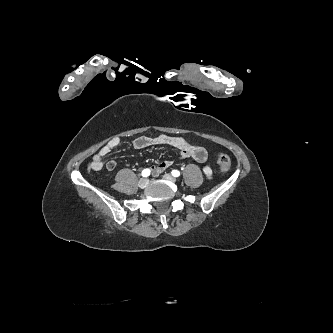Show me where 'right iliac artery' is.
I'll return each instance as SVG.
<instances>
[{
    "instance_id": "obj_1",
    "label": "right iliac artery",
    "mask_w": 333,
    "mask_h": 333,
    "mask_svg": "<svg viewBox=\"0 0 333 333\" xmlns=\"http://www.w3.org/2000/svg\"><path fill=\"white\" fill-rule=\"evenodd\" d=\"M150 175V170L149 169H144L143 171H142V176L143 177H148Z\"/></svg>"
}]
</instances>
